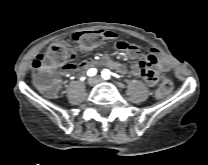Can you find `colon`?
Masks as SVG:
<instances>
[{"label":"colon","instance_id":"5ec220e1","mask_svg":"<svg viewBox=\"0 0 208 165\" xmlns=\"http://www.w3.org/2000/svg\"><path fill=\"white\" fill-rule=\"evenodd\" d=\"M102 36L98 31H83L73 35L76 47L67 42H57L50 46L46 54H39L32 62V79L34 85L47 96H56L60 90V82L56 70L62 63L73 61L77 51H88L97 47ZM173 81L164 76L156 90V97L161 99L171 93Z\"/></svg>","mask_w":208,"mask_h":165}]
</instances>
